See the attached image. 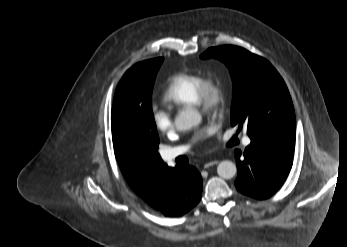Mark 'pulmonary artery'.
Returning <instances> with one entry per match:
<instances>
[{"label":"pulmonary artery","mask_w":347,"mask_h":247,"mask_svg":"<svg viewBox=\"0 0 347 247\" xmlns=\"http://www.w3.org/2000/svg\"><path fill=\"white\" fill-rule=\"evenodd\" d=\"M250 143H251V139L248 136L244 137L243 144L245 146H248V145H250ZM186 150H187L186 146H179V147L170 148L164 152V157L166 160L170 161V160H173L176 157L184 154L186 152Z\"/></svg>","instance_id":"pulmonary-artery-1"}]
</instances>
